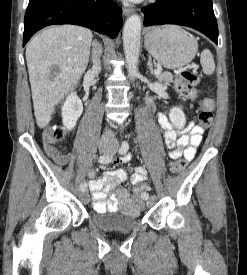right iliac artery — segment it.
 I'll list each match as a JSON object with an SVG mask.
<instances>
[{
	"label": "right iliac artery",
	"instance_id": "1",
	"mask_svg": "<svg viewBox=\"0 0 247 275\" xmlns=\"http://www.w3.org/2000/svg\"><path fill=\"white\" fill-rule=\"evenodd\" d=\"M112 158H113V156L104 154V155L99 157V162L102 163V164H106V163H109L112 160ZM86 188H87L86 182L81 183L80 190L83 192V191L86 190Z\"/></svg>",
	"mask_w": 247,
	"mask_h": 275
}]
</instances>
